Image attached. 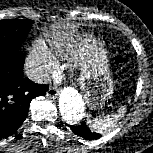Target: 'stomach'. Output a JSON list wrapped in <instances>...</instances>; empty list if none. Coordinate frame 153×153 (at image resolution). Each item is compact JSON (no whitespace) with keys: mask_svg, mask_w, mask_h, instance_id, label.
I'll return each mask as SVG.
<instances>
[{"mask_svg":"<svg viewBox=\"0 0 153 153\" xmlns=\"http://www.w3.org/2000/svg\"><path fill=\"white\" fill-rule=\"evenodd\" d=\"M82 50L79 85L91 108L103 106L113 94L107 52L102 43L87 32H77L76 37Z\"/></svg>","mask_w":153,"mask_h":153,"instance_id":"obj_1","label":"stomach"}]
</instances>
